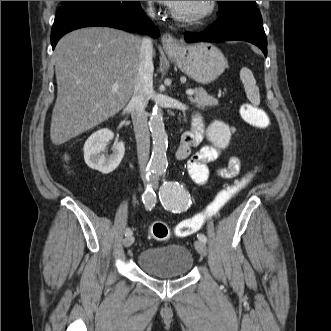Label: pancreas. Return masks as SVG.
<instances>
[{
  "label": "pancreas",
  "instance_id": "1",
  "mask_svg": "<svg viewBox=\"0 0 331 331\" xmlns=\"http://www.w3.org/2000/svg\"><path fill=\"white\" fill-rule=\"evenodd\" d=\"M188 99L198 108H204L206 106H216L219 103L215 97L209 95L203 88L195 89L194 97H189Z\"/></svg>",
  "mask_w": 331,
  "mask_h": 331
}]
</instances>
